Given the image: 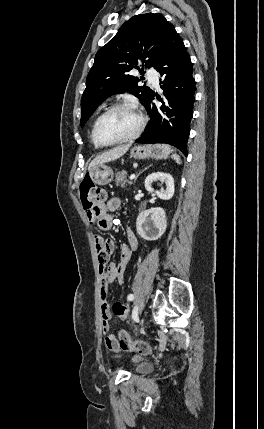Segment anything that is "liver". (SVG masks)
<instances>
[{"instance_id":"obj_1","label":"liver","mask_w":264,"mask_h":429,"mask_svg":"<svg viewBox=\"0 0 264 429\" xmlns=\"http://www.w3.org/2000/svg\"><path fill=\"white\" fill-rule=\"evenodd\" d=\"M130 148V144L117 146L107 152L96 156L89 164L88 169L91 170L96 165H100L106 162H110L122 157Z\"/></svg>"}]
</instances>
